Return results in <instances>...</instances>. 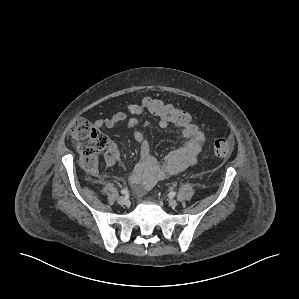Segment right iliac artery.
I'll use <instances>...</instances> for the list:
<instances>
[{"instance_id":"1","label":"right iliac artery","mask_w":299,"mask_h":299,"mask_svg":"<svg viewBox=\"0 0 299 299\" xmlns=\"http://www.w3.org/2000/svg\"><path fill=\"white\" fill-rule=\"evenodd\" d=\"M121 193L124 194V195H127L129 193V191H128V189H122Z\"/></svg>"}]
</instances>
